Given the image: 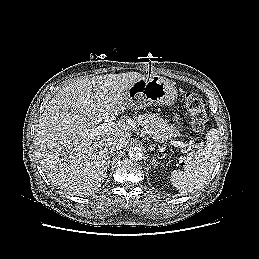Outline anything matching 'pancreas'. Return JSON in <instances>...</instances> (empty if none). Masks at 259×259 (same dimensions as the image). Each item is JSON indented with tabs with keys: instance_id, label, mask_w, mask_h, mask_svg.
I'll use <instances>...</instances> for the list:
<instances>
[{
	"instance_id": "1",
	"label": "pancreas",
	"mask_w": 259,
	"mask_h": 259,
	"mask_svg": "<svg viewBox=\"0 0 259 259\" xmlns=\"http://www.w3.org/2000/svg\"><path fill=\"white\" fill-rule=\"evenodd\" d=\"M133 122L138 126H143L156 140L165 141L171 136L178 135L176 127L169 126L166 120L155 114H140L134 117Z\"/></svg>"
}]
</instances>
